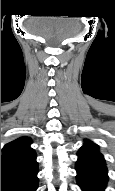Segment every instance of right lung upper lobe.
<instances>
[{"mask_svg":"<svg viewBox=\"0 0 115 191\" xmlns=\"http://www.w3.org/2000/svg\"><path fill=\"white\" fill-rule=\"evenodd\" d=\"M32 140L20 137L4 146L1 156V176L27 173L38 168L36 153L30 147Z\"/></svg>","mask_w":115,"mask_h":191,"instance_id":"right-lung-upper-lobe-1","label":"right lung upper lobe"}]
</instances>
